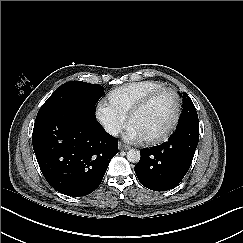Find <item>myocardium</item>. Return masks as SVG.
<instances>
[{
	"label": "myocardium",
	"mask_w": 243,
	"mask_h": 243,
	"mask_svg": "<svg viewBox=\"0 0 243 243\" xmlns=\"http://www.w3.org/2000/svg\"><path fill=\"white\" fill-rule=\"evenodd\" d=\"M164 94H172L175 99V106H174V111L172 114V117L168 124L165 126V128L158 134L153 135V136H148L147 140L151 142H159L167 138V136L170 134V132L175 128L177 125V122L180 117V108H181V99L179 97V94L177 93L176 90L172 88H163L161 90H158L146 98H144L131 112L129 120L131 123L136 124V120L138 116L142 113V111L145 109V107L154 99L164 95Z\"/></svg>",
	"instance_id": "f54148a6"
}]
</instances>
